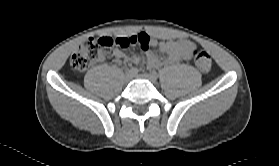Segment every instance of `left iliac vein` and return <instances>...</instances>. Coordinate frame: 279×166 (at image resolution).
Listing matches in <instances>:
<instances>
[{"mask_svg":"<svg viewBox=\"0 0 279 166\" xmlns=\"http://www.w3.org/2000/svg\"><path fill=\"white\" fill-rule=\"evenodd\" d=\"M136 77H138V78H142V79H147V80H149L150 82H152V83H156V81H157V77H155L154 75H152V74H147V73H144V74H141V75H136Z\"/></svg>","mask_w":279,"mask_h":166,"instance_id":"4c4485c4","label":"left iliac vein"}]
</instances>
